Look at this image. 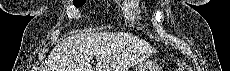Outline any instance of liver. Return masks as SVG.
Returning a JSON list of instances; mask_svg holds the SVG:
<instances>
[{"label":"liver","instance_id":"liver-1","mask_svg":"<svg viewBox=\"0 0 230 71\" xmlns=\"http://www.w3.org/2000/svg\"><path fill=\"white\" fill-rule=\"evenodd\" d=\"M155 53L147 42L127 33H78L60 42L52 50L46 71H126L135 61Z\"/></svg>","mask_w":230,"mask_h":71}]
</instances>
